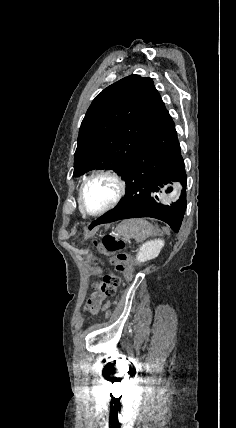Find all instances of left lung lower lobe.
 Instances as JSON below:
<instances>
[{"mask_svg": "<svg viewBox=\"0 0 236 428\" xmlns=\"http://www.w3.org/2000/svg\"><path fill=\"white\" fill-rule=\"evenodd\" d=\"M122 177L126 182L123 200L93 221L89 229L121 219L152 217L179 231L186 210L187 176L175 125L167 110L148 130ZM172 181L183 186L180 199L172 206L156 203V193L170 192Z\"/></svg>", "mask_w": 236, "mask_h": 428, "instance_id": "0a47b994", "label": "left lung lower lobe"}]
</instances>
